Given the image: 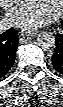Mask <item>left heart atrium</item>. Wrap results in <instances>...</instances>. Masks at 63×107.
<instances>
[{
    "mask_svg": "<svg viewBox=\"0 0 63 107\" xmlns=\"http://www.w3.org/2000/svg\"><path fill=\"white\" fill-rule=\"evenodd\" d=\"M50 15L34 5H24L16 9L9 17V21L25 29H34L48 22Z\"/></svg>",
    "mask_w": 63,
    "mask_h": 107,
    "instance_id": "left-heart-atrium-1",
    "label": "left heart atrium"
}]
</instances>
